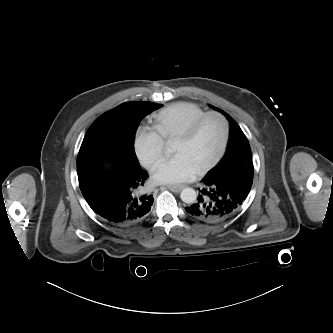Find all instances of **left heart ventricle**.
<instances>
[{
	"label": "left heart ventricle",
	"mask_w": 333,
	"mask_h": 333,
	"mask_svg": "<svg viewBox=\"0 0 333 333\" xmlns=\"http://www.w3.org/2000/svg\"><path fill=\"white\" fill-rule=\"evenodd\" d=\"M224 128L217 117H209L197 130L190 140L176 139L173 144V152L183 154L198 170L211 161L218 153Z\"/></svg>",
	"instance_id": "left-heart-ventricle-1"
}]
</instances>
